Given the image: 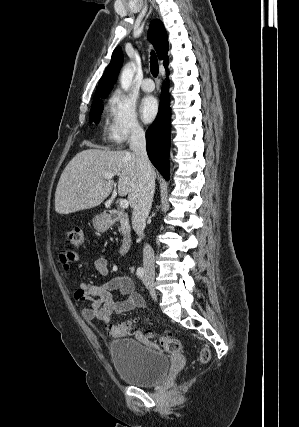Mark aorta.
I'll list each match as a JSON object with an SVG mask.
<instances>
[{"label":"aorta","instance_id":"obj_1","mask_svg":"<svg viewBox=\"0 0 299 427\" xmlns=\"http://www.w3.org/2000/svg\"><path fill=\"white\" fill-rule=\"evenodd\" d=\"M132 66L133 65L130 63L127 64L121 73L120 83H121V87L124 90H128L129 87L131 86L132 79L134 76V70H133Z\"/></svg>","mask_w":299,"mask_h":427}]
</instances>
